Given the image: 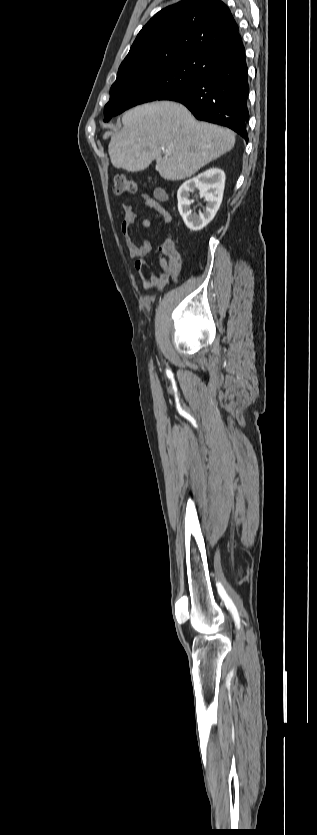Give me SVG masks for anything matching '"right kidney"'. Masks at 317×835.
<instances>
[{
  "label": "right kidney",
  "mask_w": 317,
  "mask_h": 835,
  "mask_svg": "<svg viewBox=\"0 0 317 835\" xmlns=\"http://www.w3.org/2000/svg\"><path fill=\"white\" fill-rule=\"evenodd\" d=\"M225 173L220 168H210L197 176L186 180L177 193L178 210L185 225L192 231L203 229L216 215L223 198ZM199 190L206 205L198 215L192 213L190 193Z\"/></svg>",
  "instance_id": "obj_1"
}]
</instances>
